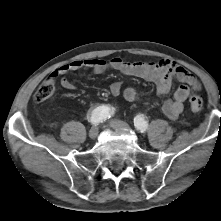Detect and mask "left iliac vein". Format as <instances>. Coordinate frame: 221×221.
Returning <instances> with one entry per match:
<instances>
[{
  "label": "left iliac vein",
  "instance_id": "4c4485c4",
  "mask_svg": "<svg viewBox=\"0 0 221 221\" xmlns=\"http://www.w3.org/2000/svg\"><path fill=\"white\" fill-rule=\"evenodd\" d=\"M110 125L115 130H130V126L126 122L120 120H112L110 121Z\"/></svg>",
  "mask_w": 221,
  "mask_h": 221
}]
</instances>
